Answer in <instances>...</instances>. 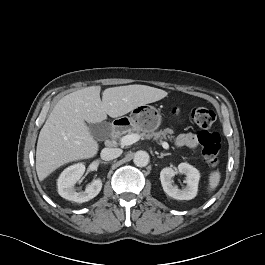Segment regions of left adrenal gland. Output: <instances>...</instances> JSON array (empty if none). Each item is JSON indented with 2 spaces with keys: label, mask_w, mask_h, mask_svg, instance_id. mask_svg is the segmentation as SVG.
<instances>
[{
  "label": "left adrenal gland",
  "mask_w": 265,
  "mask_h": 265,
  "mask_svg": "<svg viewBox=\"0 0 265 265\" xmlns=\"http://www.w3.org/2000/svg\"><path fill=\"white\" fill-rule=\"evenodd\" d=\"M171 155V153H161L158 158H163L164 156Z\"/></svg>",
  "instance_id": "1"
}]
</instances>
